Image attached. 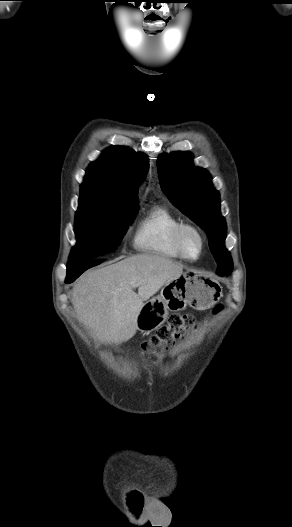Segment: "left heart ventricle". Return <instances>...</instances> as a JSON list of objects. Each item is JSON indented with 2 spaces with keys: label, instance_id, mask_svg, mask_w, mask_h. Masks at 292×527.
<instances>
[{
  "label": "left heart ventricle",
  "instance_id": "b2bd125f",
  "mask_svg": "<svg viewBox=\"0 0 292 527\" xmlns=\"http://www.w3.org/2000/svg\"><path fill=\"white\" fill-rule=\"evenodd\" d=\"M184 245L185 250L189 256H197L200 249V241L196 234L187 232L184 237Z\"/></svg>",
  "mask_w": 292,
  "mask_h": 527
}]
</instances>
